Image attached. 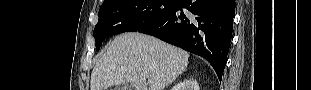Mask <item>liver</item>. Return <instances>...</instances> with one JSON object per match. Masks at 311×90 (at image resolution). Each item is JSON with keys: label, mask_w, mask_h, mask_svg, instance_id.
<instances>
[{"label": "liver", "mask_w": 311, "mask_h": 90, "mask_svg": "<svg viewBox=\"0 0 311 90\" xmlns=\"http://www.w3.org/2000/svg\"><path fill=\"white\" fill-rule=\"evenodd\" d=\"M188 59L186 51L152 36L135 32L121 34L96 63L90 88L106 90L110 86L130 84L134 90H164L186 70Z\"/></svg>", "instance_id": "1"}]
</instances>
